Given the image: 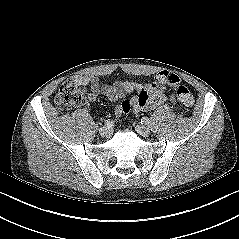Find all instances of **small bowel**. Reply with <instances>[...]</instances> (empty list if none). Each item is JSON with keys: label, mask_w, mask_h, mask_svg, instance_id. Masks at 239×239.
<instances>
[{"label": "small bowel", "mask_w": 239, "mask_h": 239, "mask_svg": "<svg viewBox=\"0 0 239 239\" xmlns=\"http://www.w3.org/2000/svg\"><path fill=\"white\" fill-rule=\"evenodd\" d=\"M76 81L80 85L90 87L89 101L91 102H94L99 94L105 95L112 102H118L122 96L136 92L137 94L132 98L135 111H150L166 101L176 104L174 96L167 95L165 88L157 82L140 83L129 80L103 83L99 78L87 75L76 77ZM115 112L116 114L120 112L118 106L115 108Z\"/></svg>", "instance_id": "1"}]
</instances>
